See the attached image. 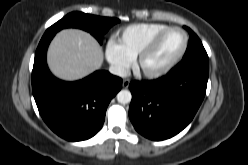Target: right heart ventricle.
<instances>
[{"label":"right heart ventricle","instance_id":"right-heart-ventricle-1","mask_svg":"<svg viewBox=\"0 0 248 165\" xmlns=\"http://www.w3.org/2000/svg\"><path fill=\"white\" fill-rule=\"evenodd\" d=\"M166 27L168 26L160 23L132 24L118 32L116 43L130 59H133L156 33Z\"/></svg>","mask_w":248,"mask_h":165}]
</instances>
